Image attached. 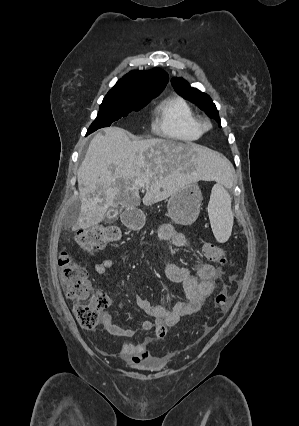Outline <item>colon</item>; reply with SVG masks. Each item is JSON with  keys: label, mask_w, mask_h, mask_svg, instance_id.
Instances as JSON below:
<instances>
[{"label": "colon", "mask_w": 299, "mask_h": 426, "mask_svg": "<svg viewBox=\"0 0 299 426\" xmlns=\"http://www.w3.org/2000/svg\"><path fill=\"white\" fill-rule=\"evenodd\" d=\"M120 237L121 232L116 226H96L80 230L76 235V242L80 248L91 251L114 243ZM203 253L212 262L224 264L227 261L225 250L215 244H205ZM59 267L65 295L74 302V313L79 325L85 329L94 328L98 324L100 311L108 303L106 296L92 287L85 268L68 253L60 255ZM215 302L222 312L225 311L230 303L227 290L220 292Z\"/></svg>", "instance_id": "5ec220e1"}]
</instances>
